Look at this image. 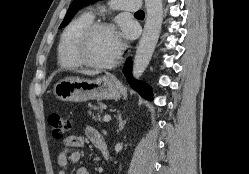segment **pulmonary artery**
Instances as JSON below:
<instances>
[{
	"mask_svg": "<svg viewBox=\"0 0 249 174\" xmlns=\"http://www.w3.org/2000/svg\"><path fill=\"white\" fill-rule=\"evenodd\" d=\"M113 7L124 11L137 12L140 10V0H112ZM92 17V14H90Z\"/></svg>",
	"mask_w": 249,
	"mask_h": 174,
	"instance_id": "1",
	"label": "pulmonary artery"
}]
</instances>
